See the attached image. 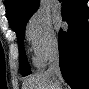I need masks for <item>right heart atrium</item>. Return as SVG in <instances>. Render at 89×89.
I'll list each match as a JSON object with an SVG mask.
<instances>
[{"instance_id":"obj_1","label":"right heart atrium","mask_w":89,"mask_h":89,"mask_svg":"<svg viewBox=\"0 0 89 89\" xmlns=\"http://www.w3.org/2000/svg\"><path fill=\"white\" fill-rule=\"evenodd\" d=\"M26 38L36 60L47 62L57 51L58 40L49 17L41 12L34 14L26 26Z\"/></svg>"}]
</instances>
